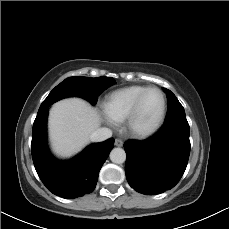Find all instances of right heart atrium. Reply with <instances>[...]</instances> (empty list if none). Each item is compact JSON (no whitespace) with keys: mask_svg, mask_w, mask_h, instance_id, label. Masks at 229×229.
<instances>
[{"mask_svg":"<svg viewBox=\"0 0 229 229\" xmlns=\"http://www.w3.org/2000/svg\"><path fill=\"white\" fill-rule=\"evenodd\" d=\"M107 122H108L109 124H111V125H113V124H114V121H113V120H111L109 117H107Z\"/></svg>","mask_w":229,"mask_h":229,"instance_id":"d8ad5b80","label":"right heart atrium"}]
</instances>
